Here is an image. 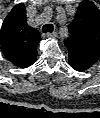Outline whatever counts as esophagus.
I'll return each instance as SVG.
<instances>
[{"mask_svg": "<svg viewBox=\"0 0 100 118\" xmlns=\"http://www.w3.org/2000/svg\"><path fill=\"white\" fill-rule=\"evenodd\" d=\"M43 36L46 37V38H54V37L57 36V33L56 32L44 33Z\"/></svg>", "mask_w": 100, "mask_h": 118, "instance_id": "1", "label": "esophagus"}]
</instances>
